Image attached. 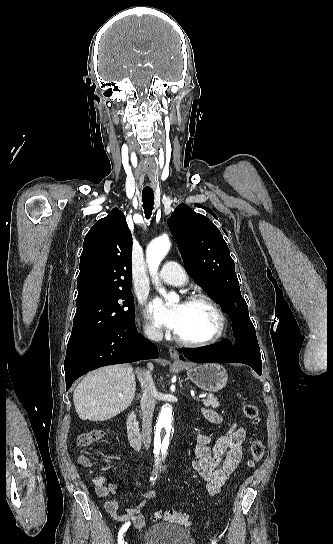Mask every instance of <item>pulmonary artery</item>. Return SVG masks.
Returning a JSON list of instances; mask_svg holds the SVG:
<instances>
[{"mask_svg": "<svg viewBox=\"0 0 333 544\" xmlns=\"http://www.w3.org/2000/svg\"><path fill=\"white\" fill-rule=\"evenodd\" d=\"M159 277L165 283L174 286L183 285L187 281L185 270L174 261H168L163 265Z\"/></svg>", "mask_w": 333, "mask_h": 544, "instance_id": "e3ab8cb5", "label": "pulmonary artery"}]
</instances>
